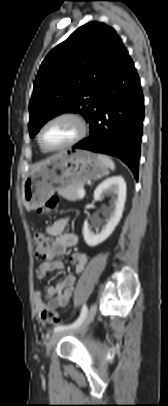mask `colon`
Here are the masks:
<instances>
[{"instance_id": "colon-1", "label": "colon", "mask_w": 168, "mask_h": 406, "mask_svg": "<svg viewBox=\"0 0 168 406\" xmlns=\"http://www.w3.org/2000/svg\"><path fill=\"white\" fill-rule=\"evenodd\" d=\"M59 199L57 197H51L46 205L38 209L41 214L49 215L57 206ZM34 255L38 261L47 260L54 246V242L50 237H47L41 233H37L33 237ZM42 318L52 325H59L62 323V318L58 312L53 309H44L41 313Z\"/></svg>"}]
</instances>
